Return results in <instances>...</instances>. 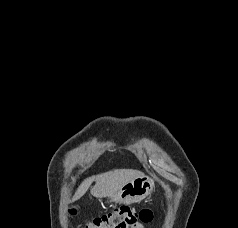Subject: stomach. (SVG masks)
I'll list each match as a JSON object with an SVG mask.
<instances>
[{
  "label": "stomach",
  "instance_id": "1",
  "mask_svg": "<svg viewBox=\"0 0 238 228\" xmlns=\"http://www.w3.org/2000/svg\"><path fill=\"white\" fill-rule=\"evenodd\" d=\"M154 186L153 179L146 175H141L123 185L115 195L109 197V201L124 204L136 203L151 194Z\"/></svg>",
  "mask_w": 238,
  "mask_h": 228
}]
</instances>
